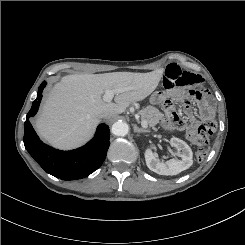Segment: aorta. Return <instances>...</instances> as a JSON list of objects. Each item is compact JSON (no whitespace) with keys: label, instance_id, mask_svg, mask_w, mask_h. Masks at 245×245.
<instances>
[{"label":"aorta","instance_id":"aorta-1","mask_svg":"<svg viewBox=\"0 0 245 245\" xmlns=\"http://www.w3.org/2000/svg\"><path fill=\"white\" fill-rule=\"evenodd\" d=\"M129 131L127 123L117 121L112 125L111 132L115 136H125Z\"/></svg>","mask_w":245,"mask_h":245}]
</instances>
